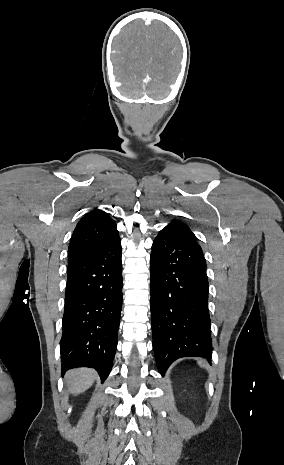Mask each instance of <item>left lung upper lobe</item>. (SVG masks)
Instances as JSON below:
<instances>
[{"label":"left lung upper lobe","instance_id":"1","mask_svg":"<svg viewBox=\"0 0 284 465\" xmlns=\"http://www.w3.org/2000/svg\"><path fill=\"white\" fill-rule=\"evenodd\" d=\"M165 228H171V229H175L177 231H180V232H183L185 234H187L190 238L196 240V237L195 235L191 232V230L186 226L184 225L182 222H179V221H172L168 226H166Z\"/></svg>","mask_w":284,"mask_h":465}]
</instances>
